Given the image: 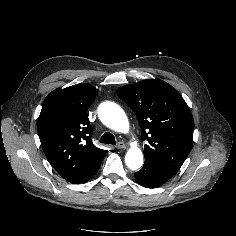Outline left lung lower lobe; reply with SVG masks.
Listing matches in <instances>:
<instances>
[{"instance_id": "1", "label": "left lung lower lobe", "mask_w": 236, "mask_h": 236, "mask_svg": "<svg viewBox=\"0 0 236 236\" xmlns=\"http://www.w3.org/2000/svg\"><path fill=\"white\" fill-rule=\"evenodd\" d=\"M134 175L143 187L157 188L167 182L174 173L161 169L153 161L145 159L144 167Z\"/></svg>"}]
</instances>
